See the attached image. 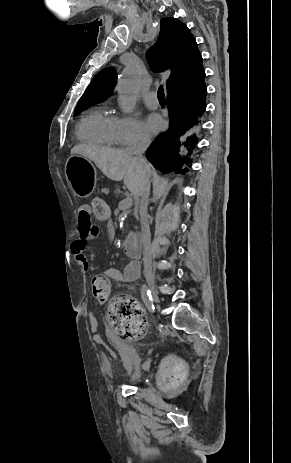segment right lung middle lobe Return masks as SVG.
I'll use <instances>...</instances> for the list:
<instances>
[{"label": "right lung middle lobe", "instance_id": "1", "mask_svg": "<svg viewBox=\"0 0 291 463\" xmlns=\"http://www.w3.org/2000/svg\"><path fill=\"white\" fill-rule=\"evenodd\" d=\"M88 105H91V104H88V103H84V104H79L76 106V109H75V114L79 113L81 110H83L85 107H87Z\"/></svg>", "mask_w": 291, "mask_h": 463}]
</instances>
